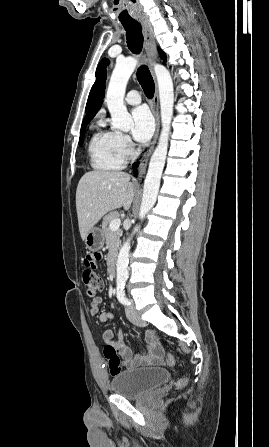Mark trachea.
<instances>
[{"label": "trachea", "mask_w": 269, "mask_h": 447, "mask_svg": "<svg viewBox=\"0 0 269 447\" xmlns=\"http://www.w3.org/2000/svg\"><path fill=\"white\" fill-rule=\"evenodd\" d=\"M126 30V40L128 48L133 53H140L143 47V35L140 23L133 20L132 22H121ZM137 79L142 86L145 95L152 98L155 91L154 80L146 65L139 67L137 71Z\"/></svg>", "instance_id": "3493384b"}]
</instances>
